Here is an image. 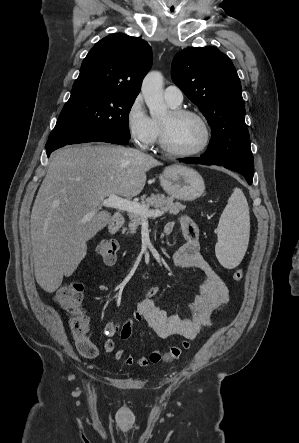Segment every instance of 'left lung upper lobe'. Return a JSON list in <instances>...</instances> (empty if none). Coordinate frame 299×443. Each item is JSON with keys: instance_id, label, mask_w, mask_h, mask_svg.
<instances>
[{"instance_id": "5c2ea615", "label": "left lung upper lobe", "mask_w": 299, "mask_h": 443, "mask_svg": "<svg viewBox=\"0 0 299 443\" xmlns=\"http://www.w3.org/2000/svg\"><path fill=\"white\" fill-rule=\"evenodd\" d=\"M171 76L211 127L202 157L222 165L253 163L241 83L230 58L215 47L188 48L175 55Z\"/></svg>"}]
</instances>
